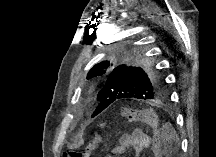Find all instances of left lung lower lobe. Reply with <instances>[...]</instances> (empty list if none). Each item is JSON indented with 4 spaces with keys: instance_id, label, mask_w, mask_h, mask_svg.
<instances>
[{
    "instance_id": "obj_1",
    "label": "left lung lower lobe",
    "mask_w": 216,
    "mask_h": 157,
    "mask_svg": "<svg viewBox=\"0 0 216 157\" xmlns=\"http://www.w3.org/2000/svg\"><path fill=\"white\" fill-rule=\"evenodd\" d=\"M109 105H110V102H102V103H100L92 116H96L97 114L102 112L105 108H107Z\"/></svg>"
}]
</instances>
